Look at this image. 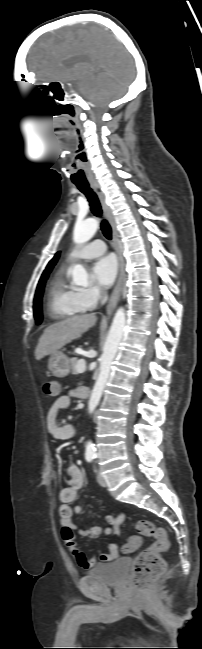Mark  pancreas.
<instances>
[{
    "mask_svg": "<svg viewBox=\"0 0 202 649\" xmlns=\"http://www.w3.org/2000/svg\"><path fill=\"white\" fill-rule=\"evenodd\" d=\"M78 361H79V360H78L77 358H73V359L71 360V373H72L73 375H78V374H79V371H78V369H77V363H78Z\"/></svg>",
    "mask_w": 202,
    "mask_h": 649,
    "instance_id": "cf45deb5",
    "label": "pancreas"
}]
</instances>
